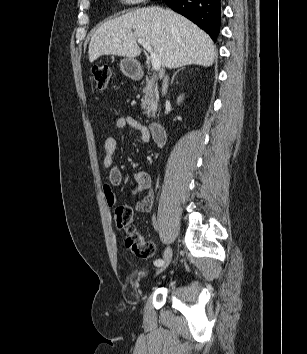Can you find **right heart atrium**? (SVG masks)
Segmentation results:
<instances>
[{
  "instance_id": "1",
  "label": "right heart atrium",
  "mask_w": 307,
  "mask_h": 354,
  "mask_svg": "<svg viewBox=\"0 0 307 354\" xmlns=\"http://www.w3.org/2000/svg\"><path fill=\"white\" fill-rule=\"evenodd\" d=\"M123 3L127 5H135L144 2L145 0H121Z\"/></svg>"
}]
</instances>
